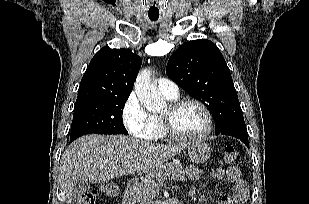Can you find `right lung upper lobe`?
<instances>
[{
  "label": "right lung upper lobe",
  "mask_w": 309,
  "mask_h": 204,
  "mask_svg": "<svg viewBox=\"0 0 309 204\" xmlns=\"http://www.w3.org/2000/svg\"><path fill=\"white\" fill-rule=\"evenodd\" d=\"M141 58L128 49L103 47L90 61L76 103L107 96H129Z\"/></svg>",
  "instance_id": "obj_1"
}]
</instances>
